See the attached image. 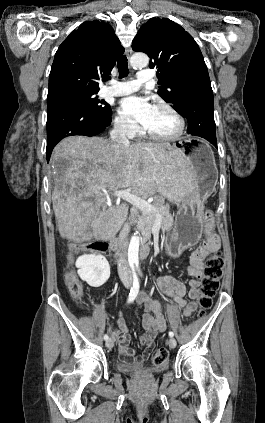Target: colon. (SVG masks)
Segmentation results:
<instances>
[{"instance_id": "1", "label": "colon", "mask_w": 265, "mask_h": 423, "mask_svg": "<svg viewBox=\"0 0 265 423\" xmlns=\"http://www.w3.org/2000/svg\"><path fill=\"white\" fill-rule=\"evenodd\" d=\"M213 229V216L210 212L206 214V234L211 233ZM84 247L93 252H105L108 244L105 241H95L84 245ZM224 261L218 252L211 253L207 260L204 273L205 277L201 283V294L198 297L199 317H203L207 310L211 308L213 297L219 289L220 280L223 276ZM65 283L69 292L74 297L82 295V284L74 272L69 271L65 274ZM169 357V351L165 347L156 349L151 356V363L154 366L163 365Z\"/></svg>"}]
</instances>
